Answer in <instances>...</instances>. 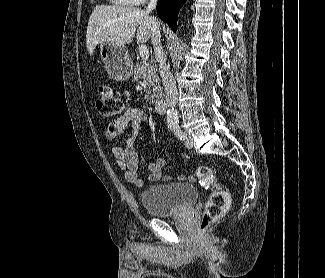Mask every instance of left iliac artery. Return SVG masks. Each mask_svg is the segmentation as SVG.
<instances>
[{
    "instance_id": "obj_1",
    "label": "left iliac artery",
    "mask_w": 325,
    "mask_h": 278,
    "mask_svg": "<svg viewBox=\"0 0 325 278\" xmlns=\"http://www.w3.org/2000/svg\"><path fill=\"white\" fill-rule=\"evenodd\" d=\"M170 128L180 140H185L187 138L186 134L181 131L178 124H174Z\"/></svg>"
}]
</instances>
